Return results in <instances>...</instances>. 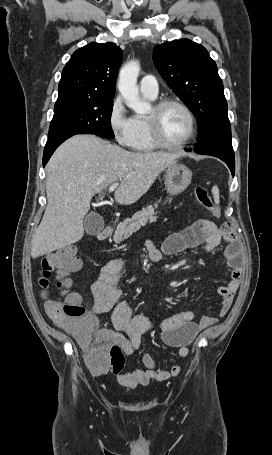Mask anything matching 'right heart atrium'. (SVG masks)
Returning a JSON list of instances; mask_svg holds the SVG:
<instances>
[{
  "instance_id": "d8ad5b80",
  "label": "right heart atrium",
  "mask_w": 272,
  "mask_h": 455,
  "mask_svg": "<svg viewBox=\"0 0 272 455\" xmlns=\"http://www.w3.org/2000/svg\"><path fill=\"white\" fill-rule=\"evenodd\" d=\"M108 125L115 141L121 146H130L134 124L133 118L127 114L121 97L113 99L108 113Z\"/></svg>"
}]
</instances>
